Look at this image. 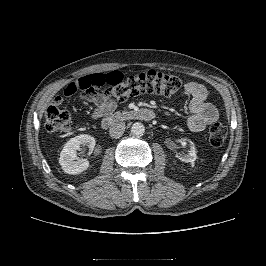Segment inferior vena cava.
<instances>
[{"mask_svg": "<svg viewBox=\"0 0 266 266\" xmlns=\"http://www.w3.org/2000/svg\"><path fill=\"white\" fill-rule=\"evenodd\" d=\"M125 131V123L124 122H116L109 129V134L113 138H120Z\"/></svg>", "mask_w": 266, "mask_h": 266, "instance_id": "602c4592", "label": "inferior vena cava"}]
</instances>
